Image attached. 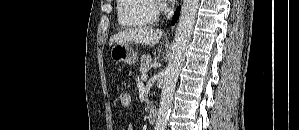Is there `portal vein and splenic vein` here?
Listing matches in <instances>:
<instances>
[{
	"label": "portal vein and splenic vein",
	"instance_id": "portal-vein-and-splenic-vein-1",
	"mask_svg": "<svg viewBox=\"0 0 299 130\" xmlns=\"http://www.w3.org/2000/svg\"><path fill=\"white\" fill-rule=\"evenodd\" d=\"M147 78H148V75H146V74H143V75L141 76V79H142V80H147Z\"/></svg>",
	"mask_w": 299,
	"mask_h": 130
}]
</instances>
